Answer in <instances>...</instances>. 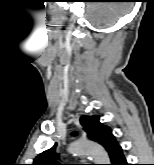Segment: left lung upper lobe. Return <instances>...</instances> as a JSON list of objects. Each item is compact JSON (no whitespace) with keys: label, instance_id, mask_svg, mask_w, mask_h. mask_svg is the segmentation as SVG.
<instances>
[{"label":"left lung upper lobe","instance_id":"obj_1","mask_svg":"<svg viewBox=\"0 0 154 165\" xmlns=\"http://www.w3.org/2000/svg\"><path fill=\"white\" fill-rule=\"evenodd\" d=\"M80 123L83 129L87 133V137L93 141L98 142L109 153L110 159L112 161L114 155L120 148L114 135L109 127L101 124L99 122L98 116H83L80 118ZM75 135V133L73 134ZM56 144L49 150H46L39 154L32 165H65L59 164L57 159L58 155L55 152Z\"/></svg>","mask_w":154,"mask_h":165}]
</instances>
